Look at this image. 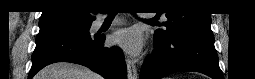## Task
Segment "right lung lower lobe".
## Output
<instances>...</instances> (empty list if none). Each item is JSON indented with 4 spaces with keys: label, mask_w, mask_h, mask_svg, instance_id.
I'll use <instances>...</instances> for the list:
<instances>
[{
    "label": "right lung lower lobe",
    "mask_w": 255,
    "mask_h": 79,
    "mask_svg": "<svg viewBox=\"0 0 255 79\" xmlns=\"http://www.w3.org/2000/svg\"><path fill=\"white\" fill-rule=\"evenodd\" d=\"M104 40V35L90 33L54 31L38 35L28 79L55 62L84 65L106 79H126L127 68L122 51L118 47H104Z\"/></svg>",
    "instance_id": "right-lung-lower-lobe-1"
}]
</instances>
